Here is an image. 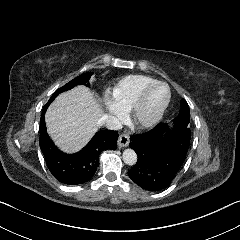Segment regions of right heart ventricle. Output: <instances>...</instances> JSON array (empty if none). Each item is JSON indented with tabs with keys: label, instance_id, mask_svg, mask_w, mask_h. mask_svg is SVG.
I'll use <instances>...</instances> for the list:
<instances>
[{
	"label": "right heart ventricle",
	"instance_id": "right-heart-ventricle-1",
	"mask_svg": "<svg viewBox=\"0 0 240 240\" xmlns=\"http://www.w3.org/2000/svg\"><path fill=\"white\" fill-rule=\"evenodd\" d=\"M154 82V79L140 75L124 77L107 89L105 102L109 108L128 111L135 105L143 90Z\"/></svg>",
	"mask_w": 240,
	"mask_h": 240
}]
</instances>
